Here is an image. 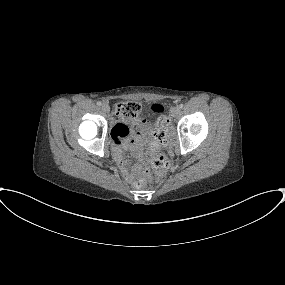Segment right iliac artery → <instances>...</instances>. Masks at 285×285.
Segmentation results:
<instances>
[{
    "instance_id": "1",
    "label": "right iliac artery",
    "mask_w": 285,
    "mask_h": 285,
    "mask_svg": "<svg viewBox=\"0 0 285 285\" xmlns=\"http://www.w3.org/2000/svg\"><path fill=\"white\" fill-rule=\"evenodd\" d=\"M101 104H102V103H101L100 101L97 102V105H98V106H101Z\"/></svg>"
}]
</instances>
